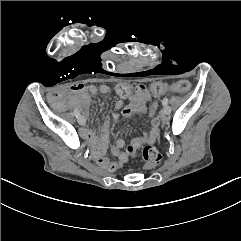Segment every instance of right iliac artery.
Returning a JSON list of instances; mask_svg holds the SVG:
<instances>
[{"mask_svg":"<svg viewBox=\"0 0 241 241\" xmlns=\"http://www.w3.org/2000/svg\"><path fill=\"white\" fill-rule=\"evenodd\" d=\"M73 113H74V115H75L76 117H78V116L80 115V112H79L78 110H76V109L73 111Z\"/></svg>","mask_w":241,"mask_h":241,"instance_id":"obj_1","label":"right iliac artery"}]
</instances>
